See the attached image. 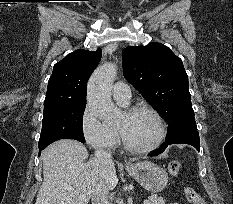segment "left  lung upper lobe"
I'll use <instances>...</instances> for the list:
<instances>
[{"label": "left lung upper lobe", "mask_w": 233, "mask_h": 204, "mask_svg": "<svg viewBox=\"0 0 233 204\" xmlns=\"http://www.w3.org/2000/svg\"><path fill=\"white\" fill-rule=\"evenodd\" d=\"M124 77L168 124L166 140L183 131H197L182 60L167 46L153 42L123 51Z\"/></svg>", "instance_id": "5c2ea615"}]
</instances>
